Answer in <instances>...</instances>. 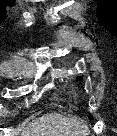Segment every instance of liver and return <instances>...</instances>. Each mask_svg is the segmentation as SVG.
Segmentation results:
<instances>
[{"mask_svg":"<svg viewBox=\"0 0 117 136\" xmlns=\"http://www.w3.org/2000/svg\"><path fill=\"white\" fill-rule=\"evenodd\" d=\"M87 127L73 117L50 113L31 123L22 136H85Z\"/></svg>","mask_w":117,"mask_h":136,"instance_id":"6515ba94","label":"liver"}]
</instances>
